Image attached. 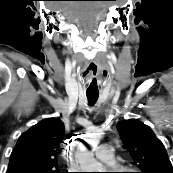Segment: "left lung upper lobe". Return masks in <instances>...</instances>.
<instances>
[{
    "instance_id": "5c2ea615",
    "label": "left lung upper lobe",
    "mask_w": 173,
    "mask_h": 173,
    "mask_svg": "<svg viewBox=\"0 0 173 173\" xmlns=\"http://www.w3.org/2000/svg\"><path fill=\"white\" fill-rule=\"evenodd\" d=\"M117 130L140 173H173L164 145L149 126L130 119L119 122Z\"/></svg>"
}]
</instances>
